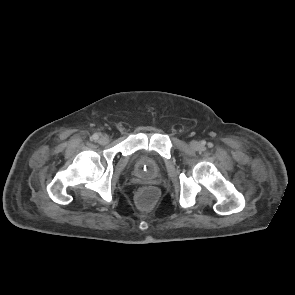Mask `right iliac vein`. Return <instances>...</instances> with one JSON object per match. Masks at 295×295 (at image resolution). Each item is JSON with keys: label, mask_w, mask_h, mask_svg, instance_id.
<instances>
[{"label": "right iliac vein", "mask_w": 295, "mask_h": 295, "mask_svg": "<svg viewBox=\"0 0 295 295\" xmlns=\"http://www.w3.org/2000/svg\"><path fill=\"white\" fill-rule=\"evenodd\" d=\"M98 142H99L100 144H102V145H105V144H107V143L109 142V137H108L107 135H102V136L99 138Z\"/></svg>", "instance_id": "1"}]
</instances>
